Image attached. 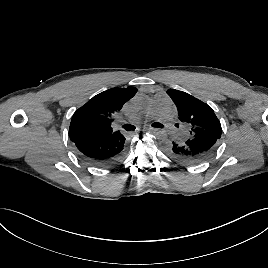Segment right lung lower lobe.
Instances as JSON below:
<instances>
[{
	"instance_id": "98d812e1",
	"label": "right lung lower lobe",
	"mask_w": 268,
	"mask_h": 268,
	"mask_svg": "<svg viewBox=\"0 0 268 268\" xmlns=\"http://www.w3.org/2000/svg\"><path fill=\"white\" fill-rule=\"evenodd\" d=\"M125 140L119 133L102 139L77 141L74 145L80 158L95 166L107 167L121 158Z\"/></svg>"
}]
</instances>
